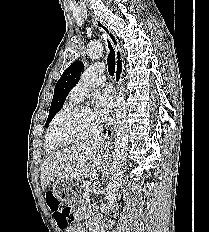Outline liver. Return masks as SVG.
Segmentation results:
<instances>
[{
	"mask_svg": "<svg viewBox=\"0 0 209 232\" xmlns=\"http://www.w3.org/2000/svg\"><path fill=\"white\" fill-rule=\"evenodd\" d=\"M101 164L98 141L75 144L58 151L49 155L41 166L42 190L56 177L80 180L90 176L94 180L99 176Z\"/></svg>",
	"mask_w": 209,
	"mask_h": 232,
	"instance_id": "6515ba94",
	"label": "liver"
}]
</instances>
